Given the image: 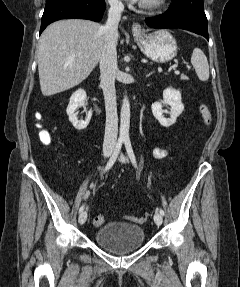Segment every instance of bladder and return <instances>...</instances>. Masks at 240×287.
Masks as SVG:
<instances>
[{"instance_id":"obj_1","label":"bladder","mask_w":240,"mask_h":287,"mask_svg":"<svg viewBox=\"0 0 240 287\" xmlns=\"http://www.w3.org/2000/svg\"><path fill=\"white\" fill-rule=\"evenodd\" d=\"M95 243L114 254L135 251L144 244V229L135 224L110 222L100 226L94 233Z\"/></svg>"}]
</instances>
